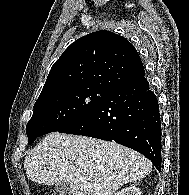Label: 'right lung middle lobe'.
<instances>
[{"instance_id":"right-lung-middle-lobe-1","label":"right lung middle lobe","mask_w":189,"mask_h":195,"mask_svg":"<svg viewBox=\"0 0 189 195\" xmlns=\"http://www.w3.org/2000/svg\"><path fill=\"white\" fill-rule=\"evenodd\" d=\"M110 90L77 87L39 96L32 118L26 126L28 145L37 137L60 131L83 117Z\"/></svg>"}]
</instances>
